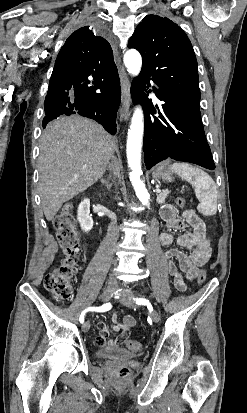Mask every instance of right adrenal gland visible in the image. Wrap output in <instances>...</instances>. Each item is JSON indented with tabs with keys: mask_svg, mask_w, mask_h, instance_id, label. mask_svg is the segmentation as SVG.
Segmentation results:
<instances>
[{
	"mask_svg": "<svg viewBox=\"0 0 247 413\" xmlns=\"http://www.w3.org/2000/svg\"><path fill=\"white\" fill-rule=\"evenodd\" d=\"M109 178L110 176H108V180H105V178H101V182H103V184H105L106 188H108V190H110L111 186H112V182H109Z\"/></svg>",
	"mask_w": 247,
	"mask_h": 413,
	"instance_id": "1",
	"label": "right adrenal gland"
}]
</instances>
